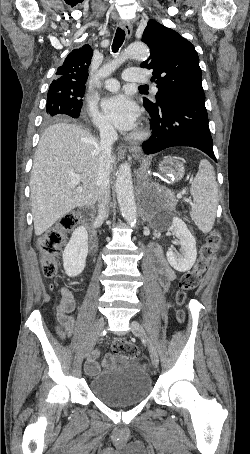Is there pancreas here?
Here are the masks:
<instances>
[{
    "label": "pancreas",
    "instance_id": "obj_1",
    "mask_svg": "<svg viewBox=\"0 0 250 454\" xmlns=\"http://www.w3.org/2000/svg\"><path fill=\"white\" fill-rule=\"evenodd\" d=\"M176 203H177L176 199L174 198L173 195L170 194V202H169L170 208L175 209Z\"/></svg>",
    "mask_w": 250,
    "mask_h": 454
}]
</instances>
